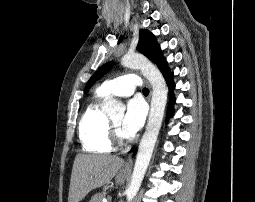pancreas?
Segmentation results:
<instances>
[{
    "label": "pancreas",
    "instance_id": "obj_1",
    "mask_svg": "<svg viewBox=\"0 0 255 202\" xmlns=\"http://www.w3.org/2000/svg\"><path fill=\"white\" fill-rule=\"evenodd\" d=\"M106 193H98L94 195L89 202H102V198L105 197Z\"/></svg>",
    "mask_w": 255,
    "mask_h": 202
}]
</instances>
